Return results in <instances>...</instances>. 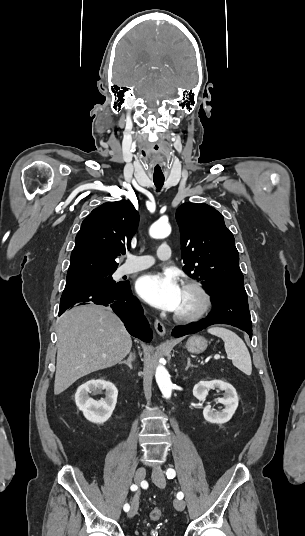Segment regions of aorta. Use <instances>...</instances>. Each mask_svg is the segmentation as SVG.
Listing matches in <instances>:
<instances>
[{"label": "aorta", "mask_w": 305, "mask_h": 536, "mask_svg": "<svg viewBox=\"0 0 305 536\" xmlns=\"http://www.w3.org/2000/svg\"><path fill=\"white\" fill-rule=\"evenodd\" d=\"M171 233V226L165 222H155L149 229V234L154 239H161L167 237ZM160 364L156 368L155 378L156 382L162 392L164 398L169 399L172 394L173 384L170 379V375L167 369L161 364L163 362L160 359Z\"/></svg>", "instance_id": "762f6f07"}]
</instances>
